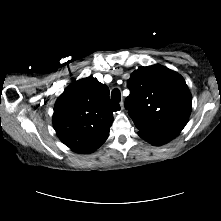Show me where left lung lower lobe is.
I'll return each instance as SVG.
<instances>
[{
    "label": "left lung lower lobe",
    "mask_w": 221,
    "mask_h": 221,
    "mask_svg": "<svg viewBox=\"0 0 221 221\" xmlns=\"http://www.w3.org/2000/svg\"><path fill=\"white\" fill-rule=\"evenodd\" d=\"M138 135L142 139L146 140L147 142H149L153 145H157V146H160V145L165 144L168 141H170L169 139H164V138H160V137H157V136L149 135V134L143 133L141 131L138 132Z\"/></svg>",
    "instance_id": "left-lung-lower-lobe-1"
}]
</instances>
